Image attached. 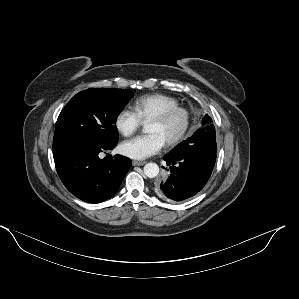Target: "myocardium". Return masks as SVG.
I'll list each match as a JSON object with an SVG mask.
<instances>
[{"label":"myocardium","instance_id":"1","mask_svg":"<svg viewBox=\"0 0 299 299\" xmlns=\"http://www.w3.org/2000/svg\"><path fill=\"white\" fill-rule=\"evenodd\" d=\"M181 115L183 117V123L178 130V132L169 138L168 140L165 141L167 146H174L181 142L184 137L186 136L190 126H191V121H192V115L191 112L188 108L182 107V106H176V107H171L168 108L154 117L150 119V121H155L158 123H164L168 121L170 118H172L175 115Z\"/></svg>","mask_w":299,"mask_h":299}]
</instances>
